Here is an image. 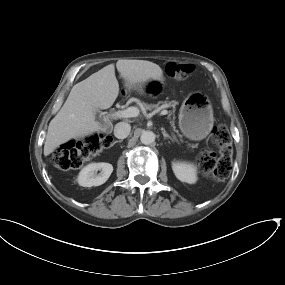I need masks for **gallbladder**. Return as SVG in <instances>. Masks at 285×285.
Masks as SVG:
<instances>
[{
  "label": "gallbladder",
  "instance_id": "bac80fb5",
  "mask_svg": "<svg viewBox=\"0 0 285 285\" xmlns=\"http://www.w3.org/2000/svg\"><path fill=\"white\" fill-rule=\"evenodd\" d=\"M99 114H100V113L97 111V112H96L97 117L99 116ZM99 120H100V118H99Z\"/></svg>",
  "mask_w": 285,
  "mask_h": 285
}]
</instances>
